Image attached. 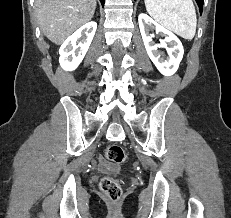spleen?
I'll list each match as a JSON object with an SVG mask.
<instances>
[{
  "label": "spleen",
  "mask_w": 231,
  "mask_h": 218,
  "mask_svg": "<svg viewBox=\"0 0 231 218\" xmlns=\"http://www.w3.org/2000/svg\"><path fill=\"white\" fill-rule=\"evenodd\" d=\"M147 12L184 39L195 36L197 17L192 0H144Z\"/></svg>",
  "instance_id": "spleen-1"
}]
</instances>
